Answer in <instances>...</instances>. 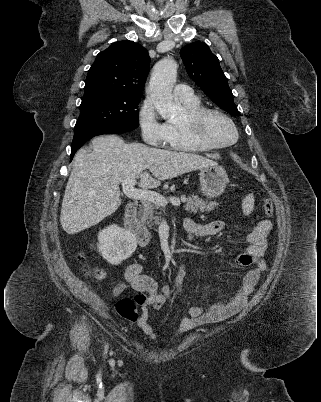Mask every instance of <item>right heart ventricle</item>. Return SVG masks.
Here are the masks:
<instances>
[{
	"mask_svg": "<svg viewBox=\"0 0 321 402\" xmlns=\"http://www.w3.org/2000/svg\"><path fill=\"white\" fill-rule=\"evenodd\" d=\"M186 108V116L193 113L201 108L203 105L201 101L196 98L193 101L182 102ZM186 116L178 121H167L166 124V141L165 145L169 148L189 151V152H199L207 150L206 147L199 144L189 132L186 124Z\"/></svg>",
	"mask_w": 321,
	"mask_h": 402,
	"instance_id": "e07e8e85",
	"label": "right heart ventricle"
}]
</instances>
